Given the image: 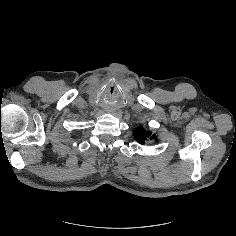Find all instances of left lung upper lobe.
<instances>
[{
	"mask_svg": "<svg viewBox=\"0 0 236 236\" xmlns=\"http://www.w3.org/2000/svg\"><path fill=\"white\" fill-rule=\"evenodd\" d=\"M134 137L140 144H144L145 141L148 140V138L151 140L155 139L156 134H152L149 131H145L143 126H139L134 130Z\"/></svg>",
	"mask_w": 236,
	"mask_h": 236,
	"instance_id": "5c2ea615",
	"label": "left lung upper lobe"
}]
</instances>
